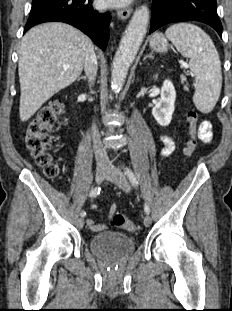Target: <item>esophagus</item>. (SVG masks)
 <instances>
[{
	"label": "esophagus",
	"instance_id": "esophagus-1",
	"mask_svg": "<svg viewBox=\"0 0 232 311\" xmlns=\"http://www.w3.org/2000/svg\"><path fill=\"white\" fill-rule=\"evenodd\" d=\"M131 13H132L131 8L119 9L117 11L118 18L121 20H126L127 18H129Z\"/></svg>",
	"mask_w": 232,
	"mask_h": 311
}]
</instances>
